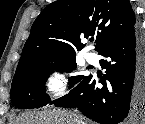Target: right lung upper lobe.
Segmentation results:
<instances>
[{
  "label": "right lung upper lobe",
  "instance_id": "right-lung-upper-lobe-1",
  "mask_svg": "<svg viewBox=\"0 0 145 124\" xmlns=\"http://www.w3.org/2000/svg\"><path fill=\"white\" fill-rule=\"evenodd\" d=\"M136 25L129 0H58L49 4L31 27L15 76L45 60L74 57L96 36L95 50Z\"/></svg>",
  "mask_w": 145,
  "mask_h": 124
}]
</instances>
